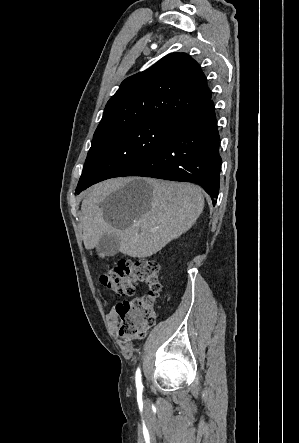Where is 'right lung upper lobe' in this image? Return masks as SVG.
<instances>
[{
    "instance_id": "right-lung-upper-lobe-1",
    "label": "right lung upper lobe",
    "mask_w": 299,
    "mask_h": 443,
    "mask_svg": "<svg viewBox=\"0 0 299 443\" xmlns=\"http://www.w3.org/2000/svg\"><path fill=\"white\" fill-rule=\"evenodd\" d=\"M211 98L206 77L185 53H171L125 79L108 101L94 136L144 118H173Z\"/></svg>"
}]
</instances>
